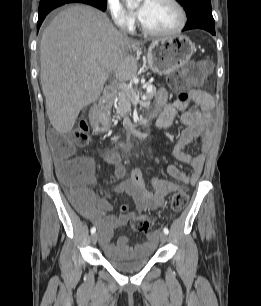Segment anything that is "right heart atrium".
Wrapping results in <instances>:
<instances>
[{
  "instance_id": "1",
  "label": "right heart atrium",
  "mask_w": 261,
  "mask_h": 306,
  "mask_svg": "<svg viewBox=\"0 0 261 306\" xmlns=\"http://www.w3.org/2000/svg\"><path fill=\"white\" fill-rule=\"evenodd\" d=\"M107 8L114 23L121 29L130 30L134 26L133 16L126 11L120 0H107Z\"/></svg>"
}]
</instances>
